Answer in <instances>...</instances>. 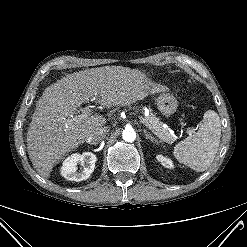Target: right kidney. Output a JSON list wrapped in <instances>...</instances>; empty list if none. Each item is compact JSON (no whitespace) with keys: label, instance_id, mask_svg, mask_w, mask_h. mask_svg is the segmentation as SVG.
<instances>
[{"label":"right kidney","instance_id":"obj_1","mask_svg":"<svg viewBox=\"0 0 247 247\" xmlns=\"http://www.w3.org/2000/svg\"><path fill=\"white\" fill-rule=\"evenodd\" d=\"M97 157L92 152H84L82 155L75 153L67 157L61 167V174L70 181H83L90 177L94 171ZM83 166L81 171H77V165Z\"/></svg>","mask_w":247,"mask_h":247}]
</instances>
